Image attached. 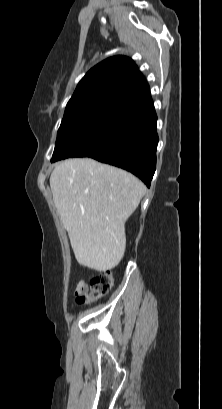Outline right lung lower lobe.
Wrapping results in <instances>:
<instances>
[{"label":"right lung lower lobe","instance_id":"obj_1","mask_svg":"<svg viewBox=\"0 0 222 409\" xmlns=\"http://www.w3.org/2000/svg\"><path fill=\"white\" fill-rule=\"evenodd\" d=\"M157 116L152 100L124 109L85 157L130 171L148 187L156 169Z\"/></svg>","mask_w":222,"mask_h":409}]
</instances>
